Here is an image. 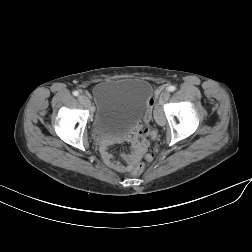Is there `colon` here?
I'll return each instance as SVG.
<instances>
[{"instance_id": "colon-1", "label": "colon", "mask_w": 252, "mask_h": 252, "mask_svg": "<svg viewBox=\"0 0 252 252\" xmlns=\"http://www.w3.org/2000/svg\"><path fill=\"white\" fill-rule=\"evenodd\" d=\"M152 105H153V101L151 100V101H150V108H151ZM145 120H146L147 122L150 120L149 111H148L147 114H146ZM152 157H153L152 154H148L146 159H147L148 161H151V160H152ZM144 168H145L144 163H142V162L137 163V164L135 165V167L133 168V170H132V174L135 175V176L140 175V174L144 171Z\"/></svg>"}]
</instances>
